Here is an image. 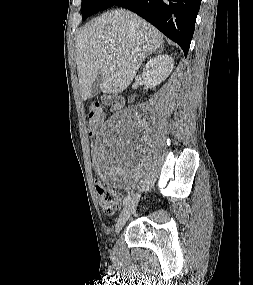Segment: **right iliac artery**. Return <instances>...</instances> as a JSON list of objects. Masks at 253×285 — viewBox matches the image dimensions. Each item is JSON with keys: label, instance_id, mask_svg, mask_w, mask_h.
Segmentation results:
<instances>
[{"label": "right iliac artery", "instance_id": "1", "mask_svg": "<svg viewBox=\"0 0 253 285\" xmlns=\"http://www.w3.org/2000/svg\"><path fill=\"white\" fill-rule=\"evenodd\" d=\"M130 199H131L130 195H127V196L124 198L123 205H127L128 202L130 201Z\"/></svg>", "mask_w": 253, "mask_h": 285}]
</instances>
